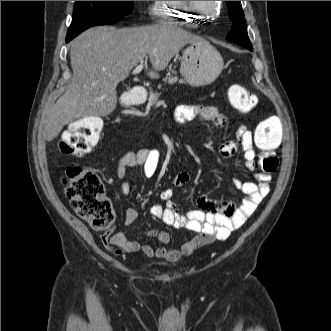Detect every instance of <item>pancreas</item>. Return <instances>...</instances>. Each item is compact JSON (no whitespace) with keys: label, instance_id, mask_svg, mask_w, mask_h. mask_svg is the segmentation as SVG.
<instances>
[{"label":"pancreas","instance_id":"obj_1","mask_svg":"<svg viewBox=\"0 0 331 331\" xmlns=\"http://www.w3.org/2000/svg\"><path fill=\"white\" fill-rule=\"evenodd\" d=\"M165 82H168L169 84H174L178 81V78L177 77H168V78H165L164 79ZM180 83H184L183 80H179ZM160 96L159 93L155 92H151L150 94V98H149V103L151 105H154L157 101H158V97Z\"/></svg>","mask_w":331,"mask_h":331}]
</instances>
